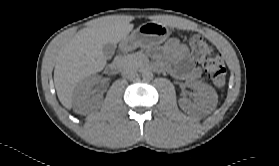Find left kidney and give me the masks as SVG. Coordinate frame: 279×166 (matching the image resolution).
<instances>
[{"label": "left kidney", "mask_w": 279, "mask_h": 166, "mask_svg": "<svg viewBox=\"0 0 279 166\" xmlns=\"http://www.w3.org/2000/svg\"><path fill=\"white\" fill-rule=\"evenodd\" d=\"M186 85L196 90L193 102L187 98H180L178 100L179 106L183 111H190L192 109L203 110L208 105L217 101V94L214 88L201 81H186Z\"/></svg>", "instance_id": "left-kidney-1"}]
</instances>
